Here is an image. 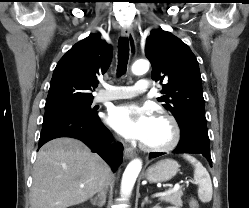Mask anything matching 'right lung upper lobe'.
Listing matches in <instances>:
<instances>
[{"mask_svg":"<svg viewBox=\"0 0 249 208\" xmlns=\"http://www.w3.org/2000/svg\"><path fill=\"white\" fill-rule=\"evenodd\" d=\"M111 59V45L98 34L76 43L54 69L45 108L93 100L97 77L107 71Z\"/></svg>","mask_w":249,"mask_h":208,"instance_id":"right-lung-upper-lobe-1","label":"right lung upper lobe"}]
</instances>
